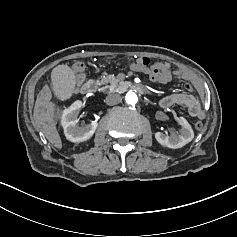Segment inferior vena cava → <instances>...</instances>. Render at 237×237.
Masks as SVG:
<instances>
[{
  "instance_id": "inferior-vena-cava-1",
  "label": "inferior vena cava",
  "mask_w": 237,
  "mask_h": 237,
  "mask_svg": "<svg viewBox=\"0 0 237 237\" xmlns=\"http://www.w3.org/2000/svg\"><path fill=\"white\" fill-rule=\"evenodd\" d=\"M122 101V98L119 94H110L106 97L105 103L107 105H116Z\"/></svg>"
}]
</instances>
